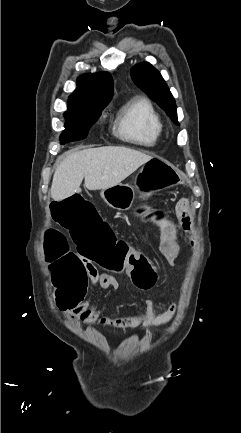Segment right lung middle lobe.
<instances>
[{"label": "right lung middle lobe", "mask_w": 241, "mask_h": 433, "mask_svg": "<svg viewBox=\"0 0 241 433\" xmlns=\"http://www.w3.org/2000/svg\"><path fill=\"white\" fill-rule=\"evenodd\" d=\"M105 107L88 103L68 104V110L64 113L66 124L60 136L61 144L84 139Z\"/></svg>", "instance_id": "right-lung-middle-lobe-1"}]
</instances>
